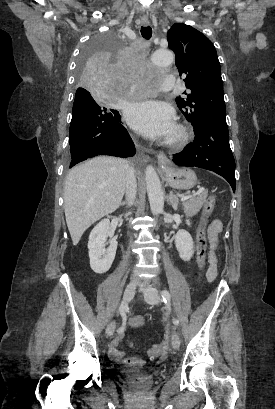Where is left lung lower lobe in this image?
Returning <instances> with one entry per match:
<instances>
[{
    "label": "left lung lower lobe",
    "instance_id": "1",
    "mask_svg": "<svg viewBox=\"0 0 275 409\" xmlns=\"http://www.w3.org/2000/svg\"><path fill=\"white\" fill-rule=\"evenodd\" d=\"M193 143L173 155V162L181 166L199 167L224 177L235 191V161L229 145L225 122L210 121L194 129Z\"/></svg>",
    "mask_w": 275,
    "mask_h": 409
}]
</instances>
